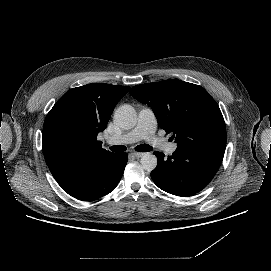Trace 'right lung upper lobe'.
Segmentation results:
<instances>
[{
    "label": "right lung upper lobe",
    "instance_id": "obj_1",
    "mask_svg": "<svg viewBox=\"0 0 271 271\" xmlns=\"http://www.w3.org/2000/svg\"><path fill=\"white\" fill-rule=\"evenodd\" d=\"M128 86L87 84L66 92L44 121L42 142L46 163L54 177L87 157L112 153L102 148L97 135L110 119Z\"/></svg>",
    "mask_w": 271,
    "mask_h": 271
}]
</instances>
